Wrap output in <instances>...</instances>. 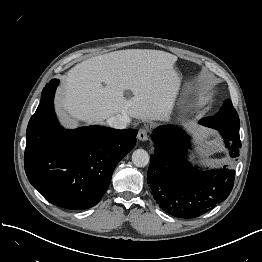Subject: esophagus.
<instances>
[{
	"mask_svg": "<svg viewBox=\"0 0 262 262\" xmlns=\"http://www.w3.org/2000/svg\"><path fill=\"white\" fill-rule=\"evenodd\" d=\"M137 138L140 141H146L148 140V129L147 128H141L138 131Z\"/></svg>",
	"mask_w": 262,
	"mask_h": 262,
	"instance_id": "esophagus-1",
	"label": "esophagus"
}]
</instances>
